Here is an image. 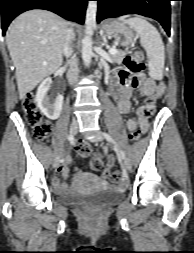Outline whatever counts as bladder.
<instances>
[{"label": "bladder", "instance_id": "1", "mask_svg": "<svg viewBox=\"0 0 194 253\" xmlns=\"http://www.w3.org/2000/svg\"><path fill=\"white\" fill-rule=\"evenodd\" d=\"M123 192L115 188H106L93 192H75L60 196V202L68 205L106 207L118 202Z\"/></svg>", "mask_w": 194, "mask_h": 253}]
</instances>
